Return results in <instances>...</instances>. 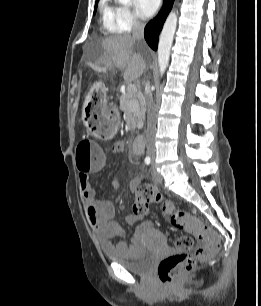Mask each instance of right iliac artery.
Wrapping results in <instances>:
<instances>
[{"mask_svg": "<svg viewBox=\"0 0 261 306\" xmlns=\"http://www.w3.org/2000/svg\"><path fill=\"white\" fill-rule=\"evenodd\" d=\"M150 163H151L150 157H146V158H145V164H146V165H149Z\"/></svg>", "mask_w": 261, "mask_h": 306, "instance_id": "right-iliac-artery-1", "label": "right iliac artery"}]
</instances>
